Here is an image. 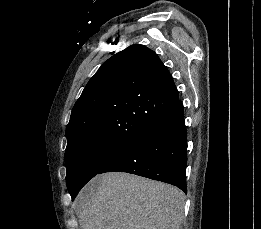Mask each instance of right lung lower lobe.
Segmentation results:
<instances>
[{
    "label": "right lung lower lobe",
    "instance_id": "obj_1",
    "mask_svg": "<svg viewBox=\"0 0 261 229\" xmlns=\"http://www.w3.org/2000/svg\"><path fill=\"white\" fill-rule=\"evenodd\" d=\"M187 131L181 101L170 108L115 160L104 172H127L177 186L185 193Z\"/></svg>",
    "mask_w": 261,
    "mask_h": 229
}]
</instances>
